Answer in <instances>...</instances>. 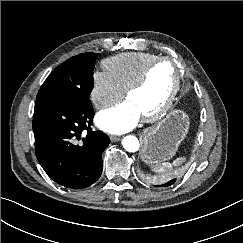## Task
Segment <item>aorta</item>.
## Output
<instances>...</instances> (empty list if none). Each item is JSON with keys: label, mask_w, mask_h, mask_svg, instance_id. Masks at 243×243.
I'll return each mask as SVG.
<instances>
[{"label": "aorta", "mask_w": 243, "mask_h": 243, "mask_svg": "<svg viewBox=\"0 0 243 243\" xmlns=\"http://www.w3.org/2000/svg\"><path fill=\"white\" fill-rule=\"evenodd\" d=\"M124 149L128 152H136L139 149V140L133 135H128L122 140Z\"/></svg>", "instance_id": "obj_1"}]
</instances>
